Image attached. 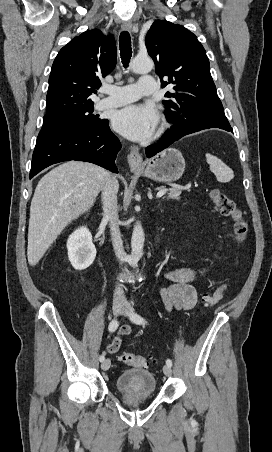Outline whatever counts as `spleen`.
<instances>
[{"label":"spleen","instance_id":"3e777b00","mask_svg":"<svg viewBox=\"0 0 272 452\" xmlns=\"http://www.w3.org/2000/svg\"><path fill=\"white\" fill-rule=\"evenodd\" d=\"M206 160L210 166V170L215 174L219 182L226 183L233 179L234 177L233 171L226 164H224L219 158L207 153Z\"/></svg>","mask_w":272,"mask_h":452}]
</instances>
